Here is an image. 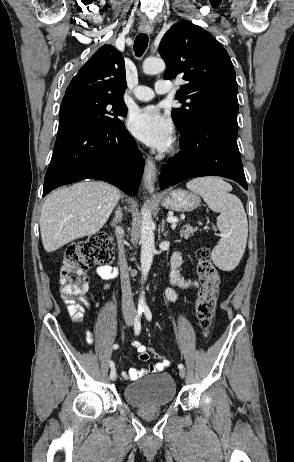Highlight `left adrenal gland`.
<instances>
[{"mask_svg":"<svg viewBox=\"0 0 294 462\" xmlns=\"http://www.w3.org/2000/svg\"><path fill=\"white\" fill-rule=\"evenodd\" d=\"M164 225H165V221L163 220V221H162V225H161V227H162V232H163V235H164V236H167V232L164 233Z\"/></svg>","mask_w":294,"mask_h":462,"instance_id":"1","label":"left adrenal gland"}]
</instances>
